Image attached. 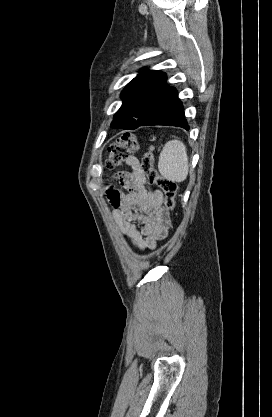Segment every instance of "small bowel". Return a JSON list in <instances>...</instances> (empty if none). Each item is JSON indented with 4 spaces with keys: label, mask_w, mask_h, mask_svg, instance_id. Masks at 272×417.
I'll use <instances>...</instances> for the list:
<instances>
[{
    "label": "small bowel",
    "mask_w": 272,
    "mask_h": 417,
    "mask_svg": "<svg viewBox=\"0 0 272 417\" xmlns=\"http://www.w3.org/2000/svg\"><path fill=\"white\" fill-rule=\"evenodd\" d=\"M126 164L131 170L119 173L118 181L127 193L108 188L107 197L114 208L115 221L128 242L138 250H152L167 236L170 214L162 205L161 192L147 184L139 160L129 156Z\"/></svg>",
    "instance_id": "obj_1"
}]
</instances>
